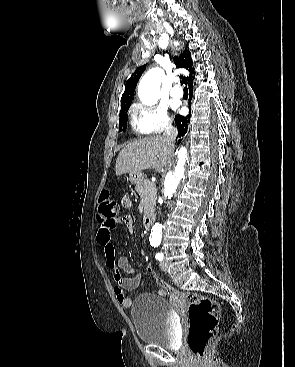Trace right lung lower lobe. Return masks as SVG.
Returning <instances> with one entry per match:
<instances>
[{"label": "right lung lower lobe", "instance_id": "obj_1", "mask_svg": "<svg viewBox=\"0 0 295 367\" xmlns=\"http://www.w3.org/2000/svg\"><path fill=\"white\" fill-rule=\"evenodd\" d=\"M192 88H190V96L192 97ZM190 109V106H189ZM190 122V115L188 116H181V115H176L175 116V124L177 126L178 129V138H180L178 140V143L181 142L182 137L185 135V133L187 132V128H188V124Z\"/></svg>", "mask_w": 295, "mask_h": 367}]
</instances>
